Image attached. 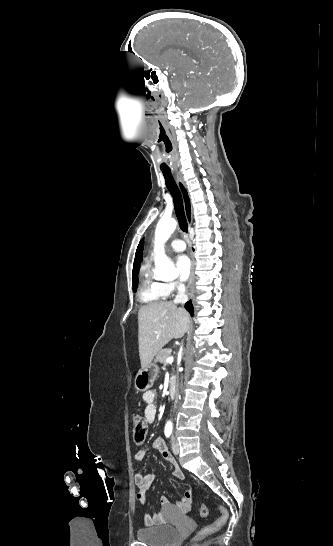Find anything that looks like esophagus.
Here are the masks:
<instances>
[{"label":"esophagus","instance_id":"34e87169","mask_svg":"<svg viewBox=\"0 0 333 546\" xmlns=\"http://www.w3.org/2000/svg\"><path fill=\"white\" fill-rule=\"evenodd\" d=\"M175 180H176V183H177V186L181 192V195H182V198H183V204H184V209H185V213H186V216H187V219L188 221H190V215H191V212H192V207H191V200H190V195H189V192L186 188V185L182 179V177L180 175H175ZM194 264H195V261L192 260V271H191V275H190V278H189V281H188V294L189 295H192L193 291H194V282H195V274H194Z\"/></svg>","mask_w":333,"mask_h":546}]
</instances>
